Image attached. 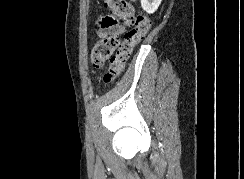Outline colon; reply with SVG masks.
I'll list each match as a JSON object with an SVG mask.
<instances>
[{"label": "colon", "instance_id": "5ec220e1", "mask_svg": "<svg viewBox=\"0 0 244 179\" xmlns=\"http://www.w3.org/2000/svg\"><path fill=\"white\" fill-rule=\"evenodd\" d=\"M105 2L125 27L122 39L118 36H108L98 40L91 53V63L95 70L111 57L108 72L104 76V81L110 83L123 72L134 48L149 32L151 19L147 13L136 14L133 4L129 1L105 0ZM113 52L115 54L111 56Z\"/></svg>", "mask_w": 244, "mask_h": 179}]
</instances>
